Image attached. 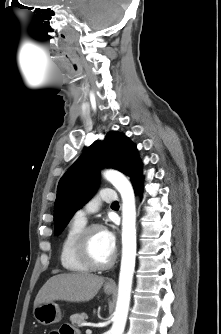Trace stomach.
<instances>
[{
    "instance_id": "stomach-1",
    "label": "stomach",
    "mask_w": 221,
    "mask_h": 334,
    "mask_svg": "<svg viewBox=\"0 0 221 334\" xmlns=\"http://www.w3.org/2000/svg\"><path fill=\"white\" fill-rule=\"evenodd\" d=\"M106 294L113 293V289L104 288ZM33 316L42 325L58 323L62 319V313L58 304L54 302L42 303L34 308Z\"/></svg>"
}]
</instances>
